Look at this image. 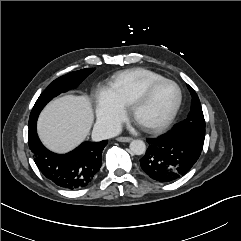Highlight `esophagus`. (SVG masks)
Returning <instances> with one entry per match:
<instances>
[{
    "instance_id": "esophagus-1",
    "label": "esophagus",
    "mask_w": 241,
    "mask_h": 241,
    "mask_svg": "<svg viewBox=\"0 0 241 241\" xmlns=\"http://www.w3.org/2000/svg\"><path fill=\"white\" fill-rule=\"evenodd\" d=\"M117 140H118L119 142H130V141H132L133 139H132V137H123V136H121V137H118Z\"/></svg>"
}]
</instances>
